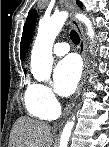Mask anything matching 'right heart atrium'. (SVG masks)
Returning <instances> with one entry per match:
<instances>
[{"label":"right heart atrium","instance_id":"1","mask_svg":"<svg viewBox=\"0 0 109 147\" xmlns=\"http://www.w3.org/2000/svg\"><path fill=\"white\" fill-rule=\"evenodd\" d=\"M32 96L35 101L48 111L58 110V101L52 89L47 85L37 83L33 87Z\"/></svg>","mask_w":109,"mask_h":147}]
</instances>
